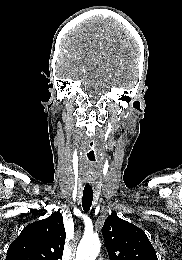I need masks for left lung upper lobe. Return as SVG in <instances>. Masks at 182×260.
I'll return each mask as SVG.
<instances>
[{"label": "left lung upper lobe", "mask_w": 182, "mask_h": 260, "mask_svg": "<svg viewBox=\"0 0 182 260\" xmlns=\"http://www.w3.org/2000/svg\"><path fill=\"white\" fill-rule=\"evenodd\" d=\"M102 235L110 260H158L145 232L114 211L105 220Z\"/></svg>", "instance_id": "left-lung-upper-lobe-1"}]
</instances>
